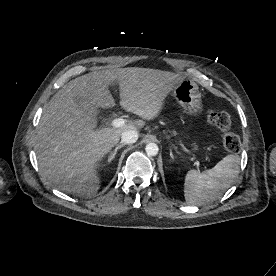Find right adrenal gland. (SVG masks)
Segmentation results:
<instances>
[{
    "label": "right adrenal gland",
    "mask_w": 276,
    "mask_h": 276,
    "mask_svg": "<svg viewBox=\"0 0 276 276\" xmlns=\"http://www.w3.org/2000/svg\"><path fill=\"white\" fill-rule=\"evenodd\" d=\"M124 145H125V144H123V143H120V144L117 145V147L115 148V150H114L113 152H111V155H110L109 158H108V162H111V161L115 158L117 151H118L120 148H122Z\"/></svg>",
    "instance_id": "obj_1"
}]
</instances>
